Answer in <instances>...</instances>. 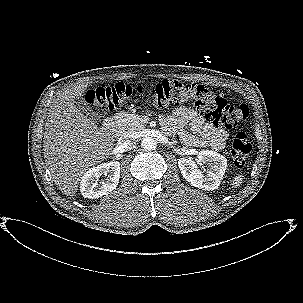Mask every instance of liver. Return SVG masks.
<instances>
[{
  "mask_svg": "<svg viewBox=\"0 0 303 303\" xmlns=\"http://www.w3.org/2000/svg\"><path fill=\"white\" fill-rule=\"evenodd\" d=\"M88 83L75 85L53 101L45 123L44 158L59 190L73 197L90 167L108 158L114 147L109 129L82 115L75 99L82 97Z\"/></svg>",
  "mask_w": 303,
  "mask_h": 303,
  "instance_id": "obj_1",
  "label": "liver"
}]
</instances>
